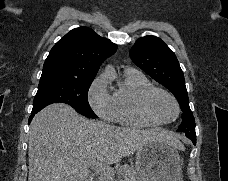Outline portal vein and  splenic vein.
I'll return each instance as SVG.
<instances>
[{"mask_svg":"<svg viewBox=\"0 0 228 181\" xmlns=\"http://www.w3.org/2000/svg\"><path fill=\"white\" fill-rule=\"evenodd\" d=\"M89 167H93L94 173H96V175H101V177L102 175H112V177H114V169L107 167V165H96V163H94V165H89ZM108 179H111V177H108Z\"/></svg>","mask_w":228,"mask_h":181,"instance_id":"portal-vein-and-splenic-vein-1","label":"portal vein and splenic vein"}]
</instances>
